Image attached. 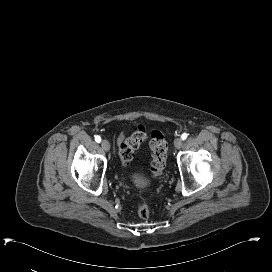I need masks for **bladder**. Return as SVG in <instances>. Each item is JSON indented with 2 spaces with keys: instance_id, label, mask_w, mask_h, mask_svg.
I'll return each instance as SVG.
<instances>
[{
  "instance_id": "1",
  "label": "bladder",
  "mask_w": 272,
  "mask_h": 272,
  "mask_svg": "<svg viewBox=\"0 0 272 272\" xmlns=\"http://www.w3.org/2000/svg\"><path fill=\"white\" fill-rule=\"evenodd\" d=\"M132 183L136 186V187H146L148 185L147 180L140 177V176H134L132 178Z\"/></svg>"
}]
</instances>
